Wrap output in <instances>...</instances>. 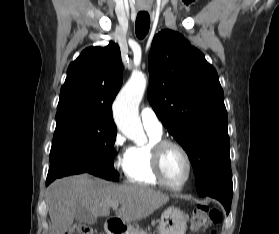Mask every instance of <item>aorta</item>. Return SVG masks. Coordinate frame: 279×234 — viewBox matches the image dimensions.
Returning a JSON list of instances; mask_svg holds the SVG:
<instances>
[{"label": "aorta", "mask_w": 279, "mask_h": 234, "mask_svg": "<svg viewBox=\"0 0 279 234\" xmlns=\"http://www.w3.org/2000/svg\"><path fill=\"white\" fill-rule=\"evenodd\" d=\"M146 85L147 79L144 74L133 73L113 104V116L118 129L140 146L147 143L138 113Z\"/></svg>", "instance_id": "762f6f07"}]
</instances>
